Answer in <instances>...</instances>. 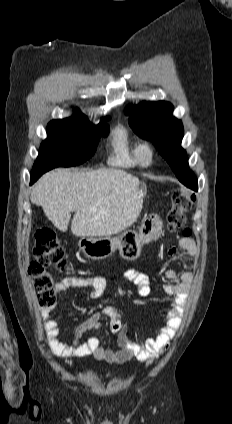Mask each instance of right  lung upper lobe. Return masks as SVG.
<instances>
[{"label": "right lung upper lobe", "instance_id": "obj_1", "mask_svg": "<svg viewBox=\"0 0 232 424\" xmlns=\"http://www.w3.org/2000/svg\"><path fill=\"white\" fill-rule=\"evenodd\" d=\"M73 117H79V118H84V119H86V118H85V116H84L83 114L78 113V112H76V113L73 115ZM104 119H107V118H104ZM104 119H103V120H104Z\"/></svg>", "mask_w": 232, "mask_h": 424}]
</instances>
